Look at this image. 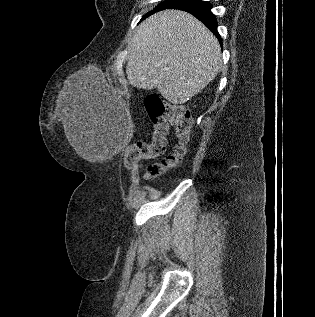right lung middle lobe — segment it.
I'll use <instances>...</instances> for the list:
<instances>
[{
    "label": "right lung middle lobe",
    "mask_w": 315,
    "mask_h": 317,
    "mask_svg": "<svg viewBox=\"0 0 315 317\" xmlns=\"http://www.w3.org/2000/svg\"><path fill=\"white\" fill-rule=\"evenodd\" d=\"M180 1L181 0H166V1L162 2L161 4H159L157 7H155V9H153L151 12H149L147 14V16L152 14V13H154V12L166 9L167 7H169L171 5H174V4H176V3L180 2Z\"/></svg>",
    "instance_id": "obj_1"
}]
</instances>
